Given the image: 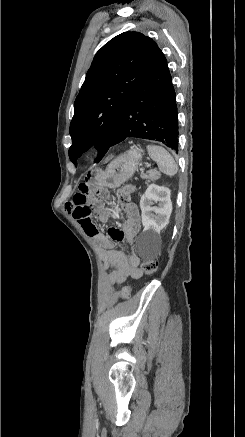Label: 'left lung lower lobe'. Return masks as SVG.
Masks as SVG:
<instances>
[{
  "instance_id": "left-lung-lower-lobe-1",
  "label": "left lung lower lobe",
  "mask_w": 245,
  "mask_h": 437,
  "mask_svg": "<svg viewBox=\"0 0 245 437\" xmlns=\"http://www.w3.org/2000/svg\"><path fill=\"white\" fill-rule=\"evenodd\" d=\"M175 99L167 61L159 49L125 104L110 147L136 137L160 141L178 152Z\"/></svg>"
}]
</instances>
